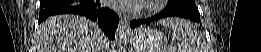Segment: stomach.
<instances>
[{
	"instance_id": "stomach-1",
	"label": "stomach",
	"mask_w": 261,
	"mask_h": 52,
	"mask_svg": "<svg viewBox=\"0 0 261 52\" xmlns=\"http://www.w3.org/2000/svg\"><path fill=\"white\" fill-rule=\"evenodd\" d=\"M130 44L132 52H161L164 40L157 30L138 28L132 33Z\"/></svg>"
}]
</instances>
